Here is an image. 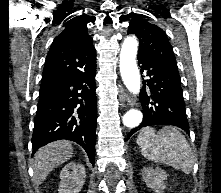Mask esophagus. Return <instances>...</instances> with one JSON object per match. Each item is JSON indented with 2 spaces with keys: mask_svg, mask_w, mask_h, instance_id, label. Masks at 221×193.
I'll use <instances>...</instances> for the list:
<instances>
[{
  "mask_svg": "<svg viewBox=\"0 0 221 193\" xmlns=\"http://www.w3.org/2000/svg\"><path fill=\"white\" fill-rule=\"evenodd\" d=\"M122 96L130 105H134L136 103V100L130 95H128L124 90L122 91Z\"/></svg>",
  "mask_w": 221,
  "mask_h": 193,
  "instance_id": "34e87169",
  "label": "esophagus"
}]
</instances>
